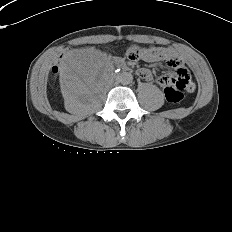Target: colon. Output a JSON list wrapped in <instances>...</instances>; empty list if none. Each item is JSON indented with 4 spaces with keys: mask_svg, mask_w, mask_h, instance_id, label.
Listing matches in <instances>:
<instances>
[{
    "mask_svg": "<svg viewBox=\"0 0 232 232\" xmlns=\"http://www.w3.org/2000/svg\"><path fill=\"white\" fill-rule=\"evenodd\" d=\"M140 57L139 51H132L130 53V58L133 60H136ZM52 71L54 73L58 72V67L54 66L52 68ZM189 74L187 72L183 71L181 74L178 73L177 76L169 74L166 75L164 80V89H165V97L168 102L170 103H178L183 98V90H186V87L189 83Z\"/></svg>",
    "mask_w": 232,
    "mask_h": 232,
    "instance_id": "obj_1",
    "label": "colon"
}]
</instances>
